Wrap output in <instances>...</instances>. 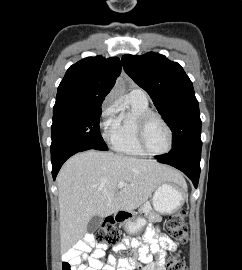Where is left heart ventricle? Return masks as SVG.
<instances>
[{
  "instance_id": "obj_1",
  "label": "left heart ventricle",
  "mask_w": 242,
  "mask_h": 270,
  "mask_svg": "<svg viewBox=\"0 0 242 270\" xmlns=\"http://www.w3.org/2000/svg\"><path fill=\"white\" fill-rule=\"evenodd\" d=\"M147 147L156 153L163 152L168 147V133L166 128L158 120H152L146 130Z\"/></svg>"
}]
</instances>
